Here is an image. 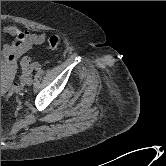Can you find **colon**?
Here are the masks:
<instances>
[{
    "label": "colon",
    "mask_w": 166,
    "mask_h": 166,
    "mask_svg": "<svg viewBox=\"0 0 166 166\" xmlns=\"http://www.w3.org/2000/svg\"><path fill=\"white\" fill-rule=\"evenodd\" d=\"M61 40L58 36H50L46 41V48L50 51H55L60 47ZM32 64V60L30 57H24L20 62V81L23 80V78L28 74L30 71V67ZM20 88V85L18 83H15L10 92L9 95H11L13 92H16Z\"/></svg>",
    "instance_id": "5ec220e1"
}]
</instances>
